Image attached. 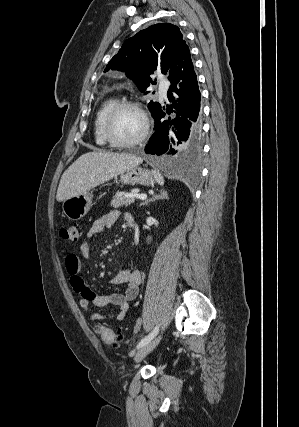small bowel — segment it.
<instances>
[{"label":"small bowel","mask_w":299,"mask_h":427,"mask_svg":"<svg viewBox=\"0 0 299 427\" xmlns=\"http://www.w3.org/2000/svg\"><path fill=\"white\" fill-rule=\"evenodd\" d=\"M119 216L120 213L118 210H112L92 224L87 234L88 241L81 246L84 257H88L89 255V240L110 228L118 220ZM129 216L131 215H125L126 221ZM65 267L70 276V283L73 290L80 295L79 304L86 312L88 319L93 321H120L124 319L129 310L130 302L138 295L141 283V272L138 269L125 268L112 278L111 281L113 284H124L126 286L124 292L95 293L85 284L81 276L82 262L78 255L75 253L68 254L65 258ZM92 305L98 308L115 305L117 310L115 312L92 310Z\"/></svg>","instance_id":"1"}]
</instances>
